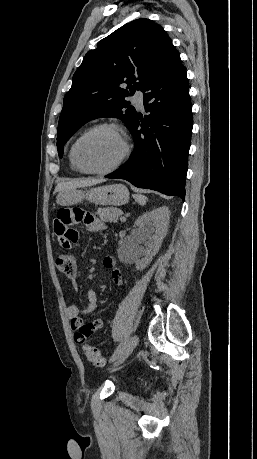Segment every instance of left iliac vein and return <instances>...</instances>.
Segmentation results:
<instances>
[{
    "instance_id": "1",
    "label": "left iliac vein",
    "mask_w": 257,
    "mask_h": 459,
    "mask_svg": "<svg viewBox=\"0 0 257 459\" xmlns=\"http://www.w3.org/2000/svg\"><path fill=\"white\" fill-rule=\"evenodd\" d=\"M137 344H138V337L134 335L126 342L123 352L114 361L113 367L116 368L119 365H121L128 358V356L132 353V351L136 348Z\"/></svg>"
}]
</instances>
